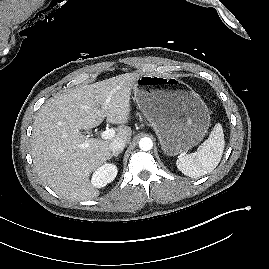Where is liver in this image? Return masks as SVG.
Masks as SVG:
<instances>
[{
  "label": "liver",
  "mask_w": 269,
  "mask_h": 269,
  "mask_svg": "<svg viewBox=\"0 0 269 269\" xmlns=\"http://www.w3.org/2000/svg\"><path fill=\"white\" fill-rule=\"evenodd\" d=\"M142 73H125L56 95L45 102L33 123L31 155L41 180L69 200H91L99 191L90 174L110 159L115 139L130 141L131 89ZM107 122L119 124L109 140L84 136L80 130Z\"/></svg>",
  "instance_id": "obj_1"
}]
</instances>
